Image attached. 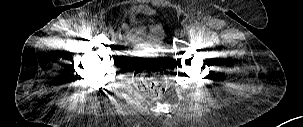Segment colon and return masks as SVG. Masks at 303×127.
Returning <instances> with one entry per match:
<instances>
[{
    "label": "colon",
    "instance_id": "5ec220e1",
    "mask_svg": "<svg viewBox=\"0 0 303 127\" xmlns=\"http://www.w3.org/2000/svg\"><path fill=\"white\" fill-rule=\"evenodd\" d=\"M166 62L143 60L135 62L134 75L137 88L151 97H161L167 90Z\"/></svg>",
    "mask_w": 303,
    "mask_h": 127
}]
</instances>
